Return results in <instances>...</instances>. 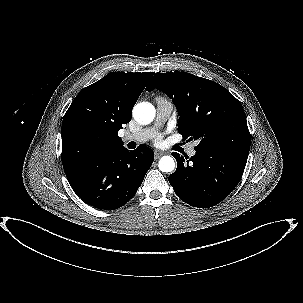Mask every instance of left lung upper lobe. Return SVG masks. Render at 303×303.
<instances>
[{
  "mask_svg": "<svg viewBox=\"0 0 303 303\" xmlns=\"http://www.w3.org/2000/svg\"><path fill=\"white\" fill-rule=\"evenodd\" d=\"M167 94L179 112L178 132L199 140L196 149L248 151L251 134L244 109L220 84L186 72L156 73L146 90Z\"/></svg>",
  "mask_w": 303,
  "mask_h": 303,
  "instance_id": "5c2ea615",
  "label": "left lung upper lobe"
}]
</instances>
